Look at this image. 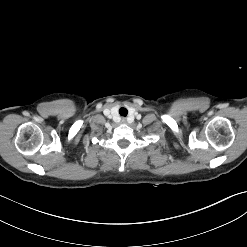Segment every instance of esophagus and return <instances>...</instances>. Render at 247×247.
Listing matches in <instances>:
<instances>
[{"mask_svg": "<svg viewBox=\"0 0 247 247\" xmlns=\"http://www.w3.org/2000/svg\"><path fill=\"white\" fill-rule=\"evenodd\" d=\"M122 122H123V123H126V119H125V118H123V119H122Z\"/></svg>", "mask_w": 247, "mask_h": 247, "instance_id": "obj_1", "label": "esophagus"}]
</instances>
